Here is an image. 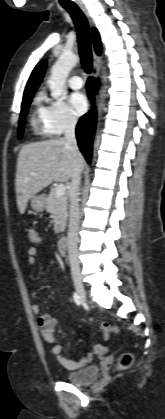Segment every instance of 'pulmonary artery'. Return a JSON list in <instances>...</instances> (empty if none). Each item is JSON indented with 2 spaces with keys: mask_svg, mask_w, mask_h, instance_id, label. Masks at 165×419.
Here are the masks:
<instances>
[{
  "mask_svg": "<svg viewBox=\"0 0 165 419\" xmlns=\"http://www.w3.org/2000/svg\"><path fill=\"white\" fill-rule=\"evenodd\" d=\"M68 83L72 89H80L83 86L82 79L78 75L71 76Z\"/></svg>",
  "mask_w": 165,
  "mask_h": 419,
  "instance_id": "pulmonary-artery-1",
  "label": "pulmonary artery"
}]
</instances>
